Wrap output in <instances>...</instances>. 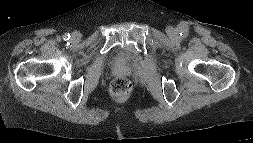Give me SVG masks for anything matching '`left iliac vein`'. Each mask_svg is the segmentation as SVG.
<instances>
[{
    "label": "left iliac vein",
    "instance_id": "1",
    "mask_svg": "<svg viewBox=\"0 0 253 143\" xmlns=\"http://www.w3.org/2000/svg\"><path fill=\"white\" fill-rule=\"evenodd\" d=\"M168 35H169L170 38H173V39H176V38H177V33H176V31L173 30V29H170V30L168 31Z\"/></svg>",
    "mask_w": 253,
    "mask_h": 143
}]
</instances>
